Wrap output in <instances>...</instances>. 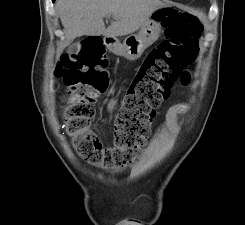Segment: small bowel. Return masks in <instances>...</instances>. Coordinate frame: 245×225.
I'll return each mask as SVG.
<instances>
[{"instance_id":"obj_1","label":"small bowel","mask_w":245,"mask_h":225,"mask_svg":"<svg viewBox=\"0 0 245 225\" xmlns=\"http://www.w3.org/2000/svg\"><path fill=\"white\" fill-rule=\"evenodd\" d=\"M118 103L119 101L117 97H111L106 102V110L109 113H113L118 107ZM178 113H179V108L177 106H171L166 113L167 124L173 132H177L179 129L177 124Z\"/></svg>"}]
</instances>
